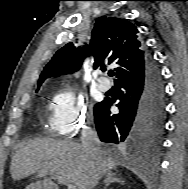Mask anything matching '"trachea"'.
<instances>
[{
  "label": "trachea",
  "instance_id": "obj_1",
  "mask_svg": "<svg viewBox=\"0 0 188 189\" xmlns=\"http://www.w3.org/2000/svg\"><path fill=\"white\" fill-rule=\"evenodd\" d=\"M108 74H109V76H114V72L113 71H110Z\"/></svg>",
  "mask_w": 188,
  "mask_h": 189
}]
</instances>
